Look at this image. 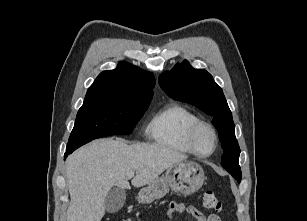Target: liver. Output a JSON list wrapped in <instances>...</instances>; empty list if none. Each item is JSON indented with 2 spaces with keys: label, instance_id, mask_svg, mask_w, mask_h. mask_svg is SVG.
Instances as JSON below:
<instances>
[{
  "label": "liver",
  "instance_id": "1",
  "mask_svg": "<svg viewBox=\"0 0 307 221\" xmlns=\"http://www.w3.org/2000/svg\"><path fill=\"white\" fill-rule=\"evenodd\" d=\"M187 156L157 144L123 140H96L71 154L66 160L70 205L67 221H101L105 198L113 186L130 189L128 173L136 172L134 187L148 185L169 167Z\"/></svg>",
  "mask_w": 307,
  "mask_h": 221
}]
</instances>
